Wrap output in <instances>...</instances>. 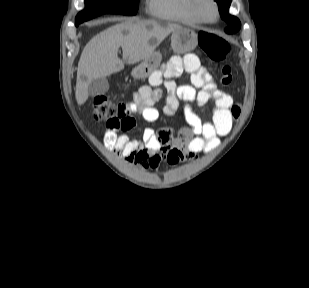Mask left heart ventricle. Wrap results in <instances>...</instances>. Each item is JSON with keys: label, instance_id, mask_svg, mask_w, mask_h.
Instances as JSON below:
<instances>
[{"label": "left heart ventricle", "instance_id": "obj_1", "mask_svg": "<svg viewBox=\"0 0 309 288\" xmlns=\"http://www.w3.org/2000/svg\"><path fill=\"white\" fill-rule=\"evenodd\" d=\"M201 11L202 14L207 18V19H214L216 16L215 8L213 4H211L208 1H205L201 4Z\"/></svg>", "mask_w": 309, "mask_h": 288}]
</instances>
